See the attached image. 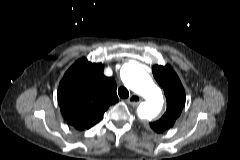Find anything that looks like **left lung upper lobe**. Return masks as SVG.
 <instances>
[{
	"label": "left lung upper lobe",
	"mask_w": 240,
	"mask_h": 160,
	"mask_svg": "<svg viewBox=\"0 0 240 160\" xmlns=\"http://www.w3.org/2000/svg\"><path fill=\"white\" fill-rule=\"evenodd\" d=\"M152 70L155 79L164 90L167 108L159 120L150 123V127L155 132L162 133L171 128L180 116L185 104V91L178 76L169 65H155Z\"/></svg>",
	"instance_id": "obj_1"
}]
</instances>
